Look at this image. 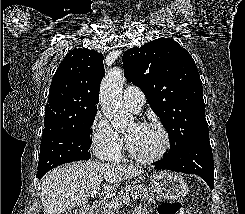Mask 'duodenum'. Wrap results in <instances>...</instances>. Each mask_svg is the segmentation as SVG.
I'll return each instance as SVG.
<instances>
[{
	"mask_svg": "<svg viewBox=\"0 0 245 214\" xmlns=\"http://www.w3.org/2000/svg\"><path fill=\"white\" fill-rule=\"evenodd\" d=\"M102 211V202L95 201L92 204L81 208L77 214H100Z\"/></svg>",
	"mask_w": 245,
	"mask_h": 214,
	"instance_id": "obj_1",
	"label": "duodenum"
}]
</instances>
